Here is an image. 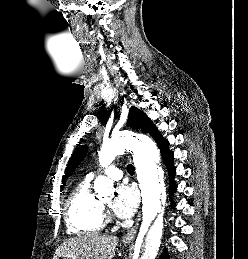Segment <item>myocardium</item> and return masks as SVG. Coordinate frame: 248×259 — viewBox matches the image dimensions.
<instances>
[{
    "mask_svg": "<svg viewBox=\"0 0 248 259\" xmlns=\"http://www.w3.org/2000/svg\"><path fill=\"white\" fill-rule=\"evenodd\" d=\"M102 206H103L104 216H105V208H106V204H105V203H103V204H102Z\"/></svg>",
    "mask_w": 248,
    "mask_h": 259,
    "instance_id": "1",
    "label": "myocardium"
}]
</instances>
